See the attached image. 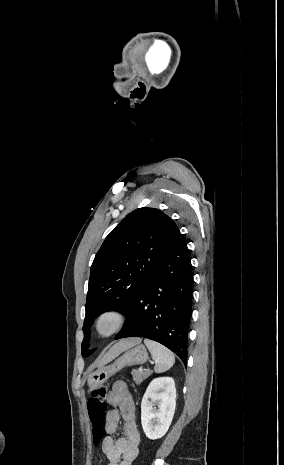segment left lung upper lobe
<instances>
[{
	"mask_svg": "<svg viewBox=\"0 0 284 465\" xmlns=\"http://www.w3.org/2000/svg\"><path fill=\"white\" fill-rule=\"evenodd\" d=\"M180 231L155 208L129 213L106 237L91 266L83 324L82 355L88 356L89 328L107 310L127 314L135 296L175 245Z\"/></svg>",
	"mask_w": 284,
	"mask_h": 465,
	"instance_id": "5c2ea615",
	"label": "left lung upper lobe"
}]
</instances>
